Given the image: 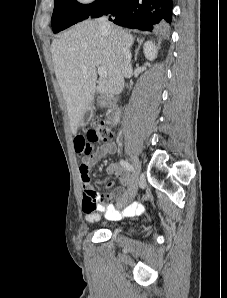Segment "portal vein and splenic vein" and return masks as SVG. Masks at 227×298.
I'll use <instances>...</instances> for the list:
<instances>
[{"label":"portal vein and splenic vein","instance_id":"portal-vein-and-splenic-vein-1","mask_svg":"<svg viewBox=\"0 0 227 298\" xmlns=\"http://www.w3.org/2000/svg\"><path fill=\"white\" fill-rule=\"evenodd\" d=\"M97 72L103 78H107L108 77L107 70L103 66L98 67Z\"/></svg>","mask_w":227,"mask_h":298}]
</instances>
